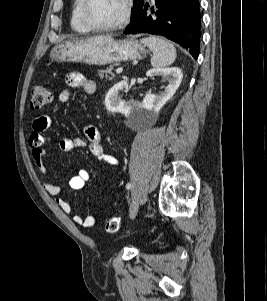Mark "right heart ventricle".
Masks as SVG:
<instances>
[{"instance_id": "right-heart-ventricle-1", "label": "right heart ventricle", "mask_w": 267, "mask_h": 301, "mask_svg": "<svg viewBox=\"0 0 267 301\" xmlns=\"http://www.w3.org/2000/svg\"><path fill=\"white\" fill-rule=\"evenodd\" d=\"M83 0H74L71 13V27L78 33H89L90 29L82 17Z\"/></svg>"}]
</instances>
